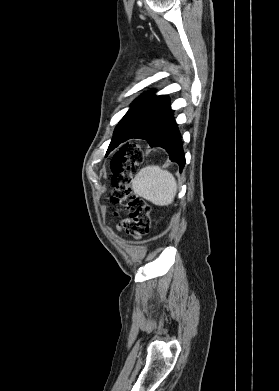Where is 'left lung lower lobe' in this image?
Returning <instances> with one entry per match:
<instances>
[{
    "mask_svg": "<svg viewBox=\"0 0 279 391\" xmlns=\"http://www.w3.org/2000/svg\"><path fill=\"white\" fill-rule=\"evenodd\" d=\"M131 138L144 139L151 147H162L168 152L170 160L176 162L180 167V172L182 171L185 165V155L178 125L174 120L173 111L171 109L142 132L136 135L132 134L125 136L122 139V142Z\"/></svg>",
    "mask_w": 279,
    "mask_h": 391,
    "instance_id": "obj_1",
    "label": "left lung lower lobe"
}]
</instances>
